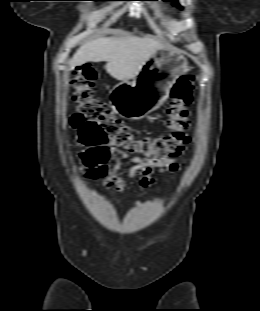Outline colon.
<instances>
[{
    "label": "colon",
    "mask_w": 260,
    "mask_h": 311,
    "mask_svg": "<svg viewBox=\"0 0 260 311\" xmlns=\"http://www.w3.org/2000/svg\"><path fill=\"white\" fill-rule=\"evenodd\" d=\"M97 72L91 66L78 70L71 81L72 100L76 112L70 122L82 147L80 159L84 166L95 171L106 165L112 144L126 153L163 160L178 157L189 142L187 109L191 102L193 78L180 77L173 85L165 109V126L170 133L157 137H138L130 126L116 118L95 96Z\"/></svg>",
    "instance_id": "5ec220e1"
}]
</instances>
